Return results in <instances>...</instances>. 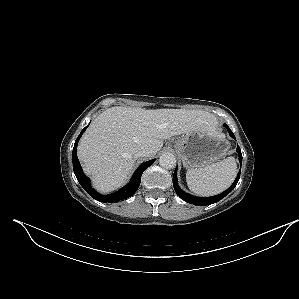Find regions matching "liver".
I'll return each instance as SVG.
<instances>
[{
  "instance_id": "obj_1",
  "label": "liver",
  "mask_w": 299,
  "mask_h": 299,
  "mask_svg": "<svg viewBox=\"0 0 299 299\" xmlns=\"http://www.w3.org/2000/svg\"><path fill=\"white\" fill-rule=\"evenodd\" d=\"M215 125L216 117L201 110L116 106L93 120L78 145V157L93 186L107 193L126 181L139 150L147 148L153 157L163 140Z\"/></svg>"
}]
</instances>
